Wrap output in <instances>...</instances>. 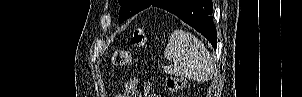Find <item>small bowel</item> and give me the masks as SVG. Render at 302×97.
I'll list each match as a JSON object with an SVG mask.
<instances>
[{"instance_id":"obj_1","label":"small bowel","mask_w":302,"mask_h":97,"mask_svg":"<svg viewBox=\"0 0 302 97\" xmlns=\"http://www.w3.org/2000/svg\"><path fill=\"white\" fill-rule=\"evenodd\" d=\"M138 80L131 79L125 85L120 97H143L137 88Z\"/></svg>"}]
</instances>
